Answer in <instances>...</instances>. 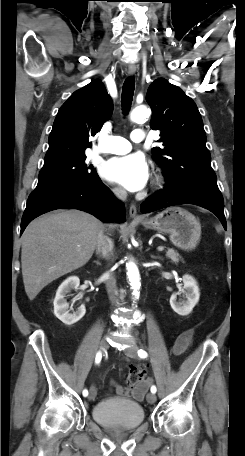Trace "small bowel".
<instances>
[{"label": "small bowel", "mask_w": 245, "mask_h": 456, "mask_svg": "<svg viewBox=\"0 0 245 456\" xmlns=\"http://www.w3.org/2000/svg\"><path fill=\"white\" fill-rule=\"evenodd\" d=\"M193 329H187L180 333V335L177 337L176 341L173 344L172 350L175 355H182L184 354L188 348L190 347L192 341H193ZM151 384V380L147 379L143 382H141L138 386H136L134 389H127L123 388L122 386L118 384H114V389L117 394L122 395V396H132L138 400L142 399L144 397L145 392L147 391L148 387Z\"/></svg>", "instance_id": "small-bowel-1"}]
</instances>
